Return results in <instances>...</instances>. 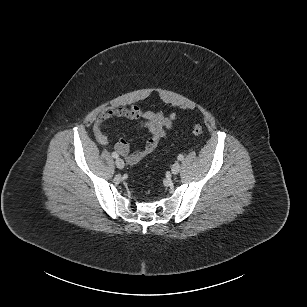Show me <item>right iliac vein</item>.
I'll return each mask as SVG.
<instances>
[{
  "mask_svg": "<svg viewBox=\"0 0 307 307\" xmlns=\"http://www.w3.org/2000/svg\"><path fill=\"white\" fill-rule=\"evenodd\" d=\"M117 168L122 169L125 166L124 161L121 158H117L115 161Z\"/></svg>",
  "mask_w": 307,
  "mask_h": 307,
  "instance_id": "1",
  "label": "right iliac vein"
}]
</instances>
